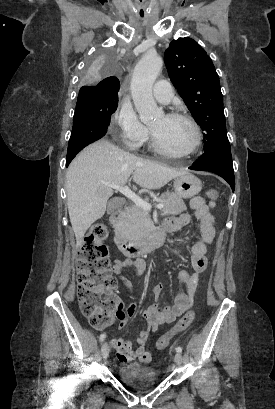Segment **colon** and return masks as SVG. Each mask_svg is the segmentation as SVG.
<instances>
[{"instance_id": "colon-1", "label": "colon", "mask_w": 275, "mask_h": 409, "mask_svg": "<svg viewBox=\"0 0 275 409\" xmlns=\"http://www.w3.org/2000/svg\"><path fill=\"white\" fill-rule=\"evenodd\" d=\"M218 195L215 189L206 193L212 202L217 201ZM107 235L106 223L98 221L92 225L77 249V296L80 310L94 330H105L106 325L112 323L113 314L122 301L113 292L118 280L111 273L112 262L104 243ZM194 319V310L186 311L177 324L156 342V349L165 350L172 338L186 330Z\"/></svg>"}]
</instances>
